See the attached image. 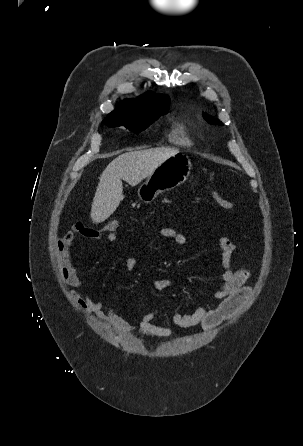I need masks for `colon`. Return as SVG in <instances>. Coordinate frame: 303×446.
Masks as SVG:
<instances>
[{
    "instance_id": "colon-1",
    "label": "colon",
    "mask_w": 303,
    "mask_h": 446,
    "mask_svg": "<svg viewBox=\"0 0 303 446\" xmlns=\"http://www.w3.org/2000/svg\"><path fill=\"white\" fill-rule=\"evenodd\" d=\"M212 199L213 201L222 209L230 210L233 208L232 203L225 199L224 197L220 196L218 193H212ZM120 227V222L118 220H112L108 222L101 230L100 232L104 235H114L116 234L117 230Z\"/></svg>"
}]
</instances>
